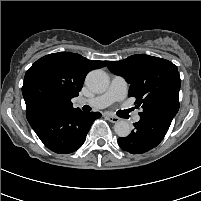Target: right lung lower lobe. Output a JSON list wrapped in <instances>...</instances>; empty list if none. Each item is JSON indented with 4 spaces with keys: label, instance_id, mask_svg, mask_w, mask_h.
<instances>
[{
    "label": "right lung lower lobe",
    "instance_id": "98d812e1",
    "mask_svg": "<svg viewBox=\"0 0 201 201\" xmlns=\"http://www.w3.org/2000/svg\"><path fill=\"white\" fill-rule=\"evenodd\" d=\"M100 116L99 112L86 113L79 108H37L26 112L28 122L43 144L60 154L79 149L85 142L93 121Z\"/></svg>",
    "mask_w": 201,
    "mask_h": 201
}]
</instances>
